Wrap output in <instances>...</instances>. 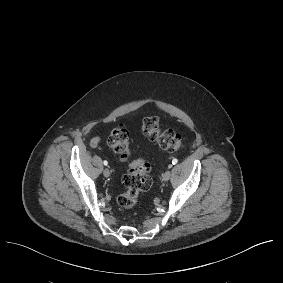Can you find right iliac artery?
Here are the masks:
<instances>
[{
    "label": "right iliac artery",
    "mask_w": 283,
    "mask_h": 283,
    "mask_svg": "<svg viewBox=\"0 0 283 283\" xmlns=\"http://www.w3.org/2000/svg\"><path fill=\"white\" fill-rule=\"evenodd\" d=\"M103 163H104L105 166L108 164V162L106 160Z\"/></svg>",
    "instance_id": "obj_1"
}]
</instances>
